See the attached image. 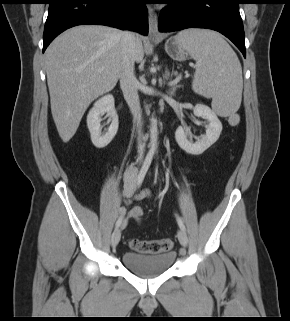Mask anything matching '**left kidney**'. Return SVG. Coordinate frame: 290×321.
<instances>
[{
	"label": "left kidney",
	"instance_id": "1",
	"mask_svg": "<svg viewBox=\"0 0 290 321\" xmlns=\"http://www.w3.org/2000/svg\"><path fill=\"white\" fill-rule=\"evenodd\" d=\"M194 115L208 120L206 134L201 140L192 143L187 139L184 128L180 126L175 132V139L181 149L189 154L199 155L218 140L222 131V124L217 115L208 106L201 103L196 104Z\"/></svg>",
	"mask_w": 290,
	"mask_h": 321
}]
</instances>
